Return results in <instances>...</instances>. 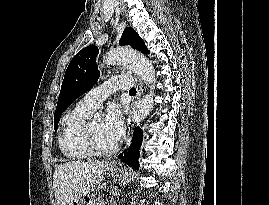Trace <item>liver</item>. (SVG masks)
I'll return each mask as SVG.
<instances>
[{
	"mask_svg": "<svg viewBox=\"0 0 269 205\" xmlns=\"http://www.w3.org/2000/svg\"><path fill=\"white\" fill-rule=\"evenodd\" d=\"M104 162L73 161L59 164L53 175L56 205H72L82 194L94 191L104 176Z\"/></svg>",
	"mask_w": 269,
	"mask_h": 205,
	"instance_id": "obj_1",
	"label": "liver"
}]
</instances>
